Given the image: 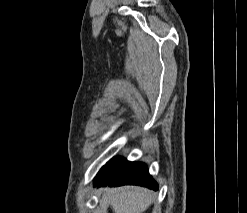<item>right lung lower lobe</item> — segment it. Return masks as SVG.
Wrapping results in <instances>:
<instances>
[{"label":"right lung lower lobe","mask_w":247,"mask_h":213,"mask_svg":"<svg viewBox=\"0 0 247 213\" xmlns=\"http://www.w3.org/2000/svg\"><path fill=\"white\" fill-rule=\"evenodd\" d=\"M94 185L121 186L139 185L157 190L158 184L149 175L144 163L129 162L123 157L111 159L97 174Z\"/></svg>","instance_id":"1"}]
</instances>
